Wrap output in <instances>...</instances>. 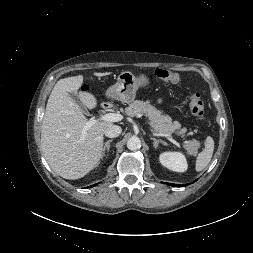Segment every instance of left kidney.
Segmentation results:
<instances>
[{
	"instance_id": "1",
	"label": "left kidney",
	"mask_w": 253,
	"mask_h": 253,
	"mask_svg": "<svg viewBox=\"0 0 253 253\" xmlns=\"http://www.w3.org/2000/svg\"><path fill=\"white\" fill-rule=\"evenodd\" d=\"M159 160L163 166L176 172H185L188 167L186 158L181 152H163Z\"/></svg>"
}]
</instances>
